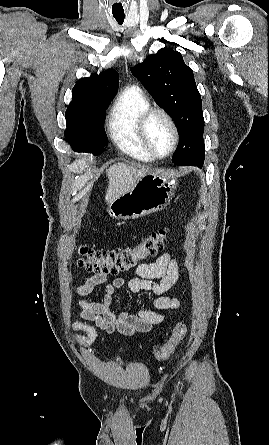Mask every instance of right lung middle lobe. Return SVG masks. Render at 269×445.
Masks as SVG:
<instances>
[{
	"label": "right lung middle lobe",
	"instance_id": "right-lung-middle-lobe-1",
	"mask_svg": "<svg viewBox=\"0 0 269 445\" xmlns=\"http://www.w3.org/2000/svg\"><path fill=\"white\" fill-rule=\"evenodd\" d=\"M107 106L108 103L67 109L64 134L74 151L98 155L104 150L108 143L103 122Z\"/></svg>",
	"mask_w": 269,
	"mask_h": 445
}]
</instances>
